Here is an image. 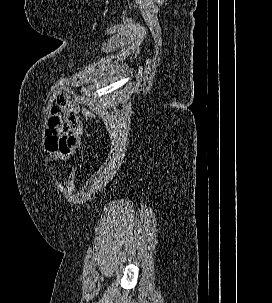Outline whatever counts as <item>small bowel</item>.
<instances>
[{
  "instance_id": "1",
  "label": "small bowel",
  "mask_w": 272,
  "mask_h": 303,
  "mask_svg": "<svg viewBox=\"0 0 272 303\" xmlns=\"http://www.w3.org/2000/svg\"><path fill=\"white\" fill-rule=\"evenodd\" d=\"M83 124L79 108L63 97H57L45 130V155L50 160L64 161L79 149Z\"/></svg>"
}]
</instances>
